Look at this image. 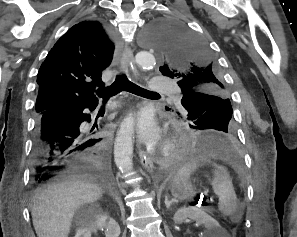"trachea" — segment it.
<instances>
[{
  "instance_id": "trachea-1",
  "label": "trachea",
  "mask_w": 297,
  "mask_h": 237,
  "mask_svg": "<svg viewBox=\"0 0 297 237\" xmlns=\"http://www.w3.org/2000/svg\"><path fill=\"white\" fill-rule=\"evenodd\" d=\"M121 91H127L139 96L158 95L156 92L141 88L135 83L129 81L125 74L117 75L115 81L110 86L99 88L96 91V94L104 101H107L110 97L120 93Z\"/></svg>"
}]
</instances>
